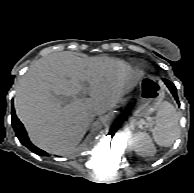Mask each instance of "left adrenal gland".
Wrapping results in <instances>:
<instances>
[{"instance_id": "a2214340", "label": "left adrenal gland", "mask_w": 194, "mask_h": 193, "mask_svg": "<svg viewBox=\"0 0 194 193\" xmlns=\"http://www.w3.org/2000/svg\"><path fill=\"white\" fill-rule=\"evenodd\" d=\"M130 125L134 128L137 125V122L133 118H130Z\"/></svg>"}]
</instances>
